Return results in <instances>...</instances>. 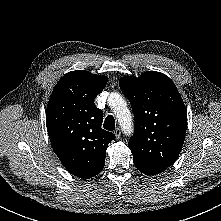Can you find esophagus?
Listing matches in <instances>:
<instances>
[{"label":"esophagus","instance_id":"34e87169","mask_svg":"<svg viewBox=\"0 0 221 221\" xmlns=\"http://www.w3.org/2000/svg\"><path fill=\"white\" fill-rule=\"evenodd\" d=\"M114 134H115L116 138L119 139L121 136V129L119 127H117L114 131Z\"/></svg>","mask_w":221,"mask_h":221}]
</instances>
